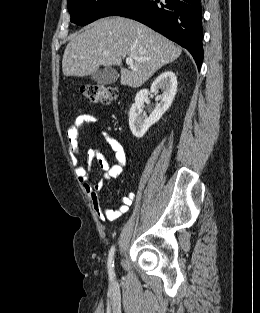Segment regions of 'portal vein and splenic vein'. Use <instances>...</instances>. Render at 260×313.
Segmentation results:
<instances>
[{
  "instance_id": "18ae733b",
  "label": "portal vein and splenic vein",
  "mask_w": 260,
  "mask_h": 313,
  "mask_svg": "<svg viewBox=\"0 0 260 313\" xmlns=\"http://www.w3.org/2000/svg\"><path fill=\"white\" fill-rule=\"evenodd\" d=\"M136 58H132V57H130V58H126V64L130 67V68H133L134 67V60H135Z\"/></svg>"
}]
</instances>
